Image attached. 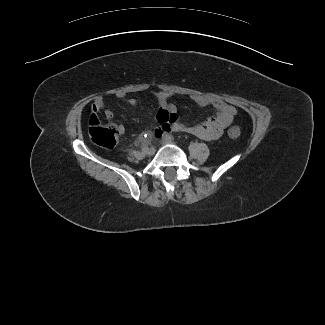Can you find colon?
Segmentation results:
<instances>
[{
	"mask_svg": "<svg viewBox=\"0 0 325 325\" xmlns=\"http://www.w3.org/2000/svg\"><path fill=\"white\" fill-rule=\"evenodd\" d=\"M240 134L241 131L236 126L228 130L231 138H238ZM89 136L95 144L104 148H113L118 141L117 130L110 124H102L95 113L89 119Z\"/></svg>",
	"mask_w": 325,
	"mask_h": 325,
	"instance_id": "obj_1",
	"label": "colon"
}]
</instances>
